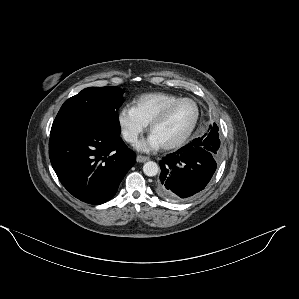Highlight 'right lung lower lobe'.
Listing matches in <instances>:
<instances>
[{
    "label": "right lung lower lobe",
    "instance_id": "98d812e1",
    "mask_svg": "<svg viewBox=\"0 0 299 299\" xmlns=\"http://www.w3.org/2000/svg\"><path fill=\"white\" fill-rule=\"evenodd\" d=\"M49 157L67 191L97 205L116 194L136 160L120 133L96 127H73L51 135Z\"/></svg>",
    "mask_w": 299,
    "mask_h": 299
}]
</instances>
